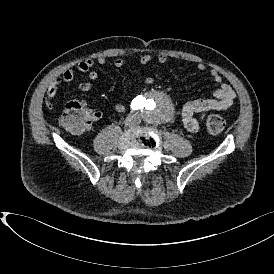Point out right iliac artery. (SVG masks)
Masks as SVG:
<instances>
[{
  "label": "right iliac artery",
  "mask_w": 274,
  "mask_h": 274,
  "mask_svg": "<svg viewBox=\"0 0 274 274\" xmlns=\"http://www.w3.org/2000/svg\"><path fill=\"white\" fill-rule=\"evenodd\" d=\"M131 108L134 109V110H137V109L142 108L141 102L138 101V100H136V99H134V100L132 101V103H131Z\"/></svg>",
  "instance_id": "right-iliac-artery-1"
}]
</instances>
